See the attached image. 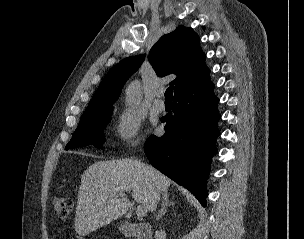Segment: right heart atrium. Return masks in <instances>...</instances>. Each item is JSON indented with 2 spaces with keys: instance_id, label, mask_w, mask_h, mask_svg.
Wrapping results in <instances>:
<instances>
[{
  "instance_id": "obj_1",
  "label": "right heart atrium",
  "mask_w": 304,
  "mask_h": 239,
  "mask_svg": "<svg viewBox=\"0 0 304 239\" xmlns=\"http://www.w3.org/2000/svg\"><path fill=\"white\" fill-rule=\"evenodd\" d=\"M142 118L131 108L122 110L115 122L114 135L119 144L124 146L135 145L140 140Z\"/></svg>"
}]
</instances>
